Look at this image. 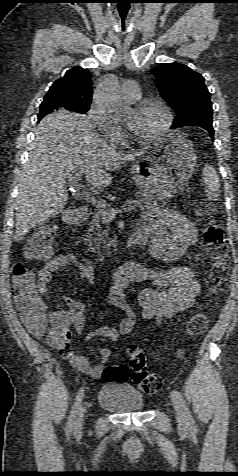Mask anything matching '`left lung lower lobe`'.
I'll return each instance as SVG.
<instances>
[{
    "instance_id": "obj_1",
    "label": "left lung lower lobe",
    "mask_w": 238,
    "mask_h": 476,
    "mask_svg": "<svg viewBox=\"0 0 238 476\" xmlns=\"http://www.w3.org/2000/svg\"><path fill=\"white\" fill-rule=\"evenodd\" d=\"M204 129H206L209 133H210V137L213 138V135H214V130H213V127H202Z\"/></svg>"
}]
</instances>
